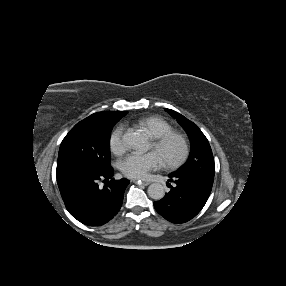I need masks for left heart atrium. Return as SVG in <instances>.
Listing matches in <instances>:
<instances>
[{"instance_id":"left-heart-atrium-1","label":"left heart atrium","mask_w":286,"mask_h":286,"mask_svg":"<svg viewBox=\"0 0 286 286\" xmlns=\"http://www.w3.org/2000/svg\"><path fill=\"white\" fill-rule=\"evenodd\" d=\"M155 152H134L119 162L120 170L133 179H147L150 173L162 167Z\"/></svg>"}]
</instances>
